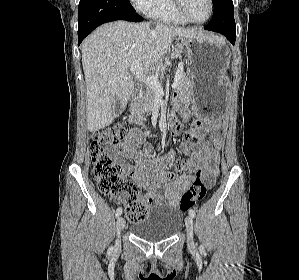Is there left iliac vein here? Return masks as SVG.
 Here are the masks:
<instances>
[{
  "label": "left iliac vein",
  "mask_w": 299,
  "mask_h": 280,
  "mask_svg": "<svg viewBox=\"0 0 299 280\" xmlns=\"http://www.w3.org/2000/svg\"><path fill=\"white\" fill-rule=\"evenodd\" d=\"M185 225L187 230V245L190 250L195 248L194 238H193V217L187 216L185 219Z\"/></svg>",
  "instance_id": "left-iliac-vein-1"
}]
</instances>
